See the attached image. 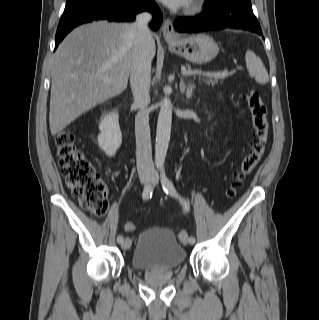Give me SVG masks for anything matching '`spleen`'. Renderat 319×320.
<instances>
[{
    "label": "spleen",
    "instance_id": "obj_1",
    "mask_svg": "<svg viewBox=\"0 0 319 320\" xmlns=\"http://www.w3.org/2000/svg\"><path fill=\"white\" fill-rule=\"evenodd\" d=\"M245 62L249 73L255 77L257 83L266 84L269 81V76L264 64L253 51L248 50L246 52Z\"/></svg>",
    "mask_w": 319,
    "mask_h": 320
}]
</instances>
